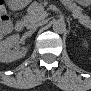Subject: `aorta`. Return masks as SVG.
<instances>
[{"label":"aorta","instance_id":"aorta-1","mask_svg":"<svg viewBox=\"0 0 91 91\" xmlns=\"http://www.w3.org/2000/svg\"><path fill=\"white\" fill-rule=\"evenodd\" d=\"M53 31L56 33H63L66 30V24L62 20H56L53 22Z\"/></svg>","mask_w":91,"mask_h":91}]
</instances>
